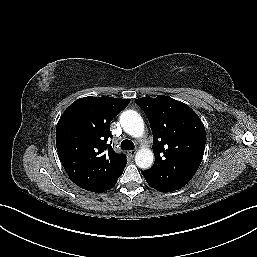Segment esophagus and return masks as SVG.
Here are the masks:
<instances>
[{"mask_svg":"<svg viewBox=\"0 0 257 257\" xmlns=\"http://www.w3.org/2000/svg\"><path fill=\"white\" fill-rule=\"evenodd\" d=\"M128 154H129L130 157L133 158L136 154V150H130V151H128Z\"/></svg>","mask_w":257,"mask_h":257,"instance_id":"obj_1","label":"esophagus"}]
</instances>
